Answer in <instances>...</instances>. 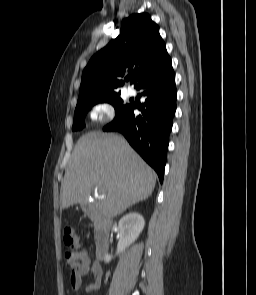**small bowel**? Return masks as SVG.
I'll return each instance as SVG.
<instances>
[{
  "mask_svg": "<svg viewBox=\"0 0 256 295\" xmlns=\"http://www.w3.org/2000/svg\"><path fill=\"white\" fill-rule=\"evenodd\" d=\"M88 274L91 275L92 280L85 287L86 292H95L100 289L103 276L102 267L99 263H91L88 260L84 265L70 273V284L73 291L78 292L80 290L82 286V278Z\"/></svg>",
  "mask_w": 256,
  "mask_h": 295,
  "instance_id": "obj_1",
  "label": "small bowel"
}]
</instances>
